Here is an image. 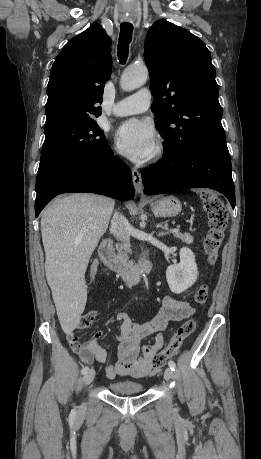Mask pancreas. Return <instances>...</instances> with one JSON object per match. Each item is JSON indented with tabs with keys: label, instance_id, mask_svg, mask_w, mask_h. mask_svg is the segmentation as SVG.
<instances>
[{
	"label": "pancreas",
	"instance_id": "pancreas-1",
	"mask_svg": "<svg viewBox=\"0 0 261 459\" xmlns=\"http://www.w3.org/2000/svg\"><path fill=\"white\" fill-rule=\"evenodd\" d=\"M171 232L173 233V235L176 238L180 239L182 242H184L186 244H191L193 242V237L190 234H187V233L183 234V233H180V232H173V231H171ZM122 250H125V252H123ZM118 251H119L118 255L121 258L122 263L126 264L127 260H128L126 252H128L129 250L124 246H120L118 248Z\"/></svg>",
	"mask_w": 261,
	"mask_h": 459
}]
</instances>
